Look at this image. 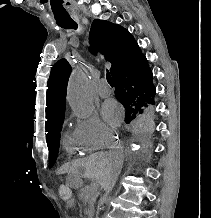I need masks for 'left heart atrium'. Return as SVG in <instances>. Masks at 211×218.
Instances as JSON below:
<instances>
[{"instance_id": "1", "label": "left heart atrium", "mask_w": 211, "mask_h": 218, "mask_svg": "<svg viewBox=\"0 0 211 218\" xmlns=\"http://www.w3.org/2000/svg\"><path fill=\"white\" fill-rule=\"evenodd\" d=\"M102 113L104 118L110 125L116 126L119 123L121 113L114 100H107L104 103Z\"/></svg>"}]
</instances>
